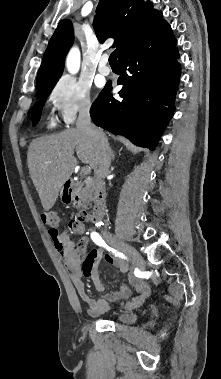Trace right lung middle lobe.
<instances>
[{
    "label": "right lung middle lobe",
    "mask_w": 221,
    "mask_h": 379,
    "mask_svg": "<svg viewBox=\"0 0 221 379\" xmlns=\"http://www.w3.org/2000/svg\"><path fill=\"white\" fill-rule=\"evenodd\" d=\"M56 83L52 84V85H49V86H46V87H43V88H40L38 89V96L39 97H48V95L50 94L52 88L54 87ZM45 99H41L40 101H38L34 106H33V110H32V119H33V123L36 124L40 117H41V110H42V107L45 103Z\"/></svg>",
    "instance_id": "dd1d6c3e"
}]
</instances>
